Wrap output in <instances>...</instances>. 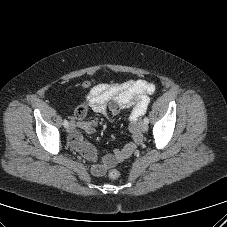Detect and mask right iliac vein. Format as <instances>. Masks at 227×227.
Here are the masks:
<instances>
[{"instance_id": "63e3f726", "label": "right iliac vein", "mask_w": 227, "mask_h": 227, "mask_svg": "<svg viewBox=\"0 0 227 227\" xmlns=\"http://www.w3.org/2000/svg\"><path fill=\"white\" fill-rule=\"evenodd\" d=\"M73 130H74V124H73V123H70V124L68 125V127H67V131H68L69 133H71Z\"/></svg>"}]
</instances>
